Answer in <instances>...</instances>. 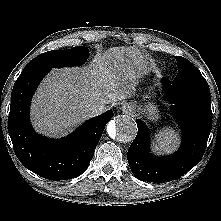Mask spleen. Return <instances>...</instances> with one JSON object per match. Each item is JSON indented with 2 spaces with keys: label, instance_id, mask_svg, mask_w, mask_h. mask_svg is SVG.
I'll return each instance as SVG.
<instances>
[{
  "label": "spleen",
  "instance_id": "obj_1",
  "mask_svg": "<svg viewBox=\"0 0 221 221\" xmlns=\"http://www.w3.org/2000/svg\"><path fill=\"white\" fill-rule=\"evenodd\" d=\"M156 144L153 148L158 153L171 152L179 143V138L173 128H164L159 133L155 134Z\"/></svg>",
  "mask_w": 221,
  "mask_h": 221
}]
</instances>
